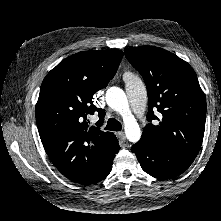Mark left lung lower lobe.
Masks as SVG:
<instances>
[{
    "instance_id": "left-lung-lower-lobe-1",
    "label": "left lung lower lobe",
    "mask_w": 221,
    "mask_h": 221,
    "mask_svg": "<svg viewBox=\"0 0 221 221\" xmlns=\"http://www.w3.org/2000/svg\"><path fill=\"white\" fill-rule=\"evenodd\" d=\"M131 151L136 154L142 169L159 179H171L182 174L194 161V159L162 145L136 143L131 147Z\"/></svg>"
}]
</instances>
